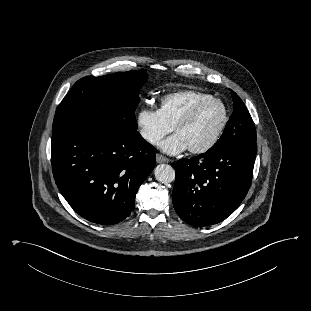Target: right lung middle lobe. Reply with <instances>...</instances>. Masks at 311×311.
Here are the masks:
<instances>
[{"instance_id":"dd1d6c3e","label":"right lung middle lobe","mask_w":311,"mask_h":311,"mask_svg":"<svg viewBox=\"0 0 311 311\" xmlns=\"http://www.w3.org/2000/svg\"><path fill=\"white\" fill-rule=\"evenodd\" d=\"M146 79L145 72L135 70L78 80L56 110L52 134L77 129L137 130L134 112Z\"/></svg>"}]
</instances>
